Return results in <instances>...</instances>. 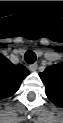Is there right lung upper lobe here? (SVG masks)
Masks as SVG:
<instances>
[{"mask_svg":"<svg viewBox=\"0 0 63 123\" xmlns=\"http://www.w3.org/2000/svg\"><path fill=\"white\" fill-rule=\"evenodd\" d=\"M28 75L29 71L25 66L14 65L3 56L0 63V98H7L16 93L22 80Z\"/></svg>","mask_w":63,"mask_h":123,"instance_id":"obj_1","label":"right lung upper lobe"}]
</instances>
